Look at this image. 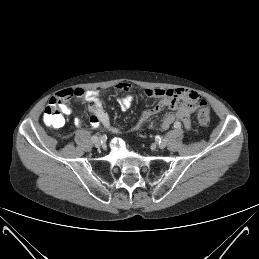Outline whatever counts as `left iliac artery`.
Masks as SVG:
<instances>
[{"label": "left iliac artery", "mask_w": 259, "mask_h": 259, "mask_svg": "<svg viewBox=\"0 0 259 259\" xmlns=\"http://www.w3.org/2000/svg\"><path fill=\"white\" fill-rule=\"evenodd\" d=\"M174 127L178 129V128L181 127V124H180L179 122H175V123H174ZM160 142H161V141H160Z\"/></svg>", "instance_id": "left-iliac-artery-1"}]
</instances>
